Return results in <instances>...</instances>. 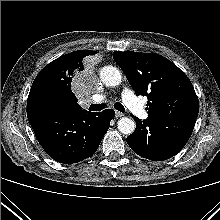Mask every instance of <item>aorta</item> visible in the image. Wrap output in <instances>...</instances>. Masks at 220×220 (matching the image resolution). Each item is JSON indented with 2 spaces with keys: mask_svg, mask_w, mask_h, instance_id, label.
I'll use <instances>...</instances> for the list:
<instances>
[{
  "mask_svg": "<svg viewBox=\"0 0 220 220\" xmlns=\"http://www.w3.org/2000/svg\"><path fill=\"white\" fill-rule=\"evenodd\" d=\"M100 80L109 87H115L122 81L121 72L113 66H105L100 71ZM118 130L122 134L130 135L135 131V121L128 117H122L118 123Z\"/></svg>",
  "mask_w": 220,
  "mask_h": 220,
  "instance_id": "obj_1",
  "label": "aorta"
}]
</instances>
